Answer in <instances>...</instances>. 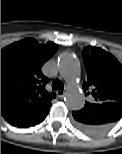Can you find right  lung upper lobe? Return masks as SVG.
I'll list each match as a JSON object with an SVG mask.
<instances>
[{
	"label": "right lung upper lobe",
	"instance_id": "cb5924a9",
	"mask_svg": "<svg viewBox=\"0 0 122 154\" xmlns=\"http://www.w3.org/2000/svg\"><path fill=\"white\" fill-rule=\"evenodd\" d=\"M57 49L28 38L1 50V115L13 126L27 127L48 114L56 96L46 91L41 66Z\"/></svg>",
	"mask_w": 122,
	"mask_h": 154
}]
</instances>
